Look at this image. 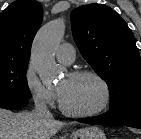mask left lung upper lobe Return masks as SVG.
Returning a JSON list of instances; mask_svg holds the SVG:
<instances>
[{"label":"left lung upper lobe","mask_w":141,"mask_h":139,"mask_svg":"<svg viewBox=\"0 0 141 139\" xmlns=\"http://www.w3.org/2000/svg\"><path fill=\"white\" fill-rule=\"evenodd\" d=\"M74 40L107 83L110 110L141 101V61L135 38L126 22L102 4H89L71 13Z\"/></svg>","instance_id":"left-lung-upper-lobe-1"}]
</instances>
